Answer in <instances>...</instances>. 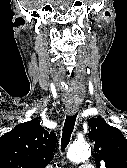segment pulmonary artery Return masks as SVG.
I'll use <instances>...</instances> for the list:
<instances>
[{"instance_id": "obj_1", "label": "pulmonary artery", "mask_w": 127, "mask_h": 168, "mask_svg": "<svg viewBox=\"0 0 127 168\" xmlns=\"http://www.w3.org/2000/svg\"><path fill=\"white\" fill-rule=\"evenodd\" d=\"M79 168H94V167L91 164L84 163V164L80 165Z\"/></svg>"}]
</instances>
